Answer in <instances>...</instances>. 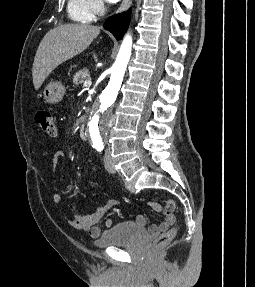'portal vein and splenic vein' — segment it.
I'll return each mask as SVG.
<instances>
[{"label":"portal vein and splenic vein","mask_w":255,"mask_h":287,"mask_svg":"<svg viewBox=\"0 0 255 287\" xmlns=\"http://www.w3.org/2000/svg\"><path fill=\"white\" fill-rule=\"evenodd\" d=\"M91 84H92L91 80H86V82H84L83 86H84V88H90Z\"/></svg>","instance_id":"1"}]
</instances>
